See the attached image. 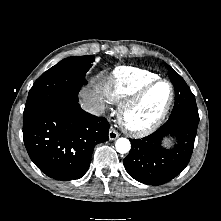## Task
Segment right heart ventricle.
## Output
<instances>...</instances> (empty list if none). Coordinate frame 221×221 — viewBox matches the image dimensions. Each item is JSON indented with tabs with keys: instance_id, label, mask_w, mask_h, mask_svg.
I'll return each mask as SVG.
<instances>
[{
	"instance_id": "1",
	"label": "right heart ventricle",
	"mask_w": 221,
	"mask_h": 221,
	"mask_svg": "<svg viewBox=\"0 0 221 221\" xmlns=\"http://www.w3.org/2000/svg\"><path fill=\"white\" fill-rule=\"evenodd\" d=\"M158 75L142 68L118 67L105 87V96L111 102H121L136 96L143 87Z\"/></svg>"
}]
</instances>
